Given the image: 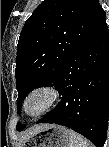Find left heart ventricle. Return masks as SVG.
Masks as SVG:
<instances>
[{
    "label": "left heart ventricle",
    "mask_w": 109,
    "mask_h": 147,
    "mask_svg": "<svg viewBox=\"0 0 109 147\" xmlns=\"http://www.w3.org/2000/svg\"><path fill=\"white\" fill-rule=\"evenodd\" d=\"M45 103V97L36 95L33 96L29 101H28V110L30 113L35 114L37 113L42 106Z\"/></svg>",
    "instance_id": "obj_1"
}]
</instances>
